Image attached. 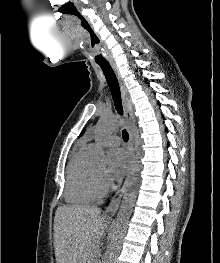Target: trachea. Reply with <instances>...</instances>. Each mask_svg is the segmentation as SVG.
<instances>
[{"instance_id":"trachea-1","label":"trachea","mask_w":220,"mask_h":263,"mask_svg":"<svg viewBox=\"0 0 220 263\" xmlns=\"http://www.w3.org/2000/svg\"><path fill=\"white\" fill-rule=\"evenodd\" d=\"M105 75V78L107 80V83L109 85L111 95L114 101L115 108L117 112L121 115L123 113L122 109V103H121V94H120V88L119 84L116 78V75L112 69V67L109 64L106 65H99ZM122 137L125 142L128 141L129 135L126 130L122 131Z\"/></svg>"}]
</instances>
